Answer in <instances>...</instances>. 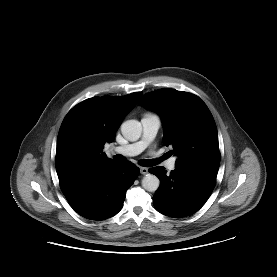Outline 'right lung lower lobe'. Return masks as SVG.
<instances>
[{"label": "right lung lower lobe", "mask_w": 277, "mask_h": 277, "mask_svg": "<svg viewBox=\"0 0 277 277\" xmlns=\"http://www.w3.org/2000/svg\"><path fill=\"white\" fill-rule=\"evenodd\" d=\"M131 163L114 162L79 174L60 187L70 206L90 220H104L117 214L125 200L126 191L139 175Z\"/></svg>", "instance_id": "obj_1"}]
</instances>
